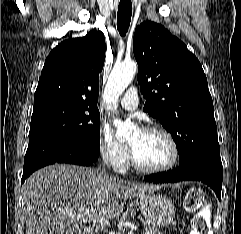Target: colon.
<instances>
[{"label":"colon","mask_w":241,"mask_h":234,"mask_svg":"<svg viewBox=\"0 0 241 234\" xmlns=\"http://www.w3.org/2000/svg\"><path fill=\"white\" fill-rule=\"evenodd\" d=\"M184 206L188 212L195 213L192 218L191 234H208L209 228L205 215L206 208L202 190L198 188L192 189L185 199Z\"/></svg>","instance_id":"colon-1"}]
</instances>
